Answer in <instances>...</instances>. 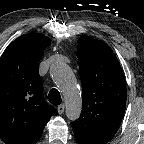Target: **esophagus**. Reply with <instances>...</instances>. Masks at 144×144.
Wrapping results in <instances>:
<instances>
[{
	"instance_id": "1",
	"label": "esophagus",
	"mask_w": 144,
	"mask_h": 144,
	"mask_svg": "<svg viewBox=\"0 0 144 144\" xmlns=\"http://www.w3.org/2000/svg\"><path fill=\"white\" fill-rule=\"evenodd\" d=\"M57 110L59 114H63L65 110V105L64 104L59 105Z\"/></svg>"
}]
</instances>
